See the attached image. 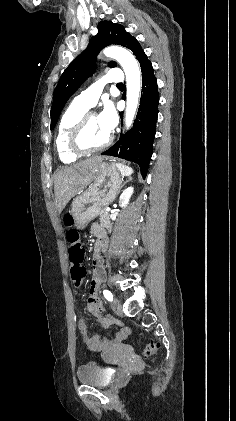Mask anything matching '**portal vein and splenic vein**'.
<instances>
[{
  "label": "portal vein and splenic vein",
  "instance_id": "1",
  "mask_svg": "<svg viewBox=\"0 0 236 421\" xmlns=\"http://www.w3.org/2000/svg\"><path fill=\"white\" fill-rule=\"evenodd\" d=\"M106 211H110V208H106Z\"/></svg>",
  "mask_w": 236,
  "mask_h": 421
}]
</instances>
